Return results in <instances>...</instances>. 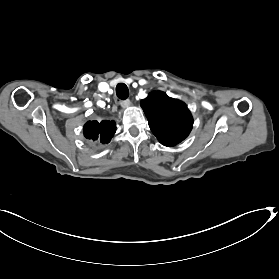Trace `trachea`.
Instances as JSON below:
<instances>
[{"label": "trachea", "instance_id": "trachea-1", "mask_svg": "<svg viewBox=\"0 0 279 279\" xmlns=\"http://www.w3.org/2000/svg\"><path fill=\"white\" fill-rule=\"evenodd\" d=\"M116 95L118 98L125 100L129 96V90L126 84L119 83L116 86Z\"/></svg>", "mask_w": 279, "mask_h": 279}]
</instances>
